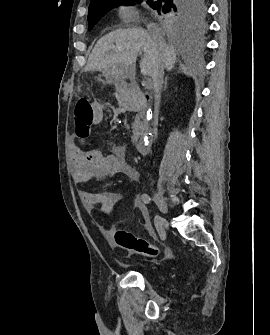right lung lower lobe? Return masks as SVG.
Instances as JSON below:
<instances>
[{
	"mask_svg": "<svg viewBox=\"0 0 270 335\" xmlns=\"http://www.w3.org/2000/svg\"><path fill=\"white\" fill-rule=\"evenodd\" d=\"M157 1V0H156ZM168 3V0L165 1V4Z\"/></svg>",
	"mask_w": 270,
	"mask_h": 335,
	"instance_id": "1",
	"label": "right lung lower lobe"
}]
</instances>
